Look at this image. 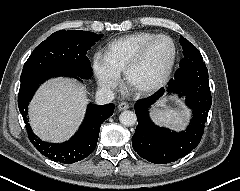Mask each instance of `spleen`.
Here are the masks:
<instances>
[{
    "mask_svg": "<svg viewBox=\"0 0 240 191\" xmlns=\"http://www.w3.org/2000/svg\"><path fill=\"white\" fill-rule=\"evenodd\" d=\"M153 119L155 120L156 123L167 125L172 128H180L181 126L184 125L183 118L180 117L178 113L173 111L166 112L156 111L153 114Z\"/></svg>",
    "mask_w": 240,
    "mask_h": 191,
    "instance_id": "spleen-1",
    "label": "spleen"
}]
</instances>
